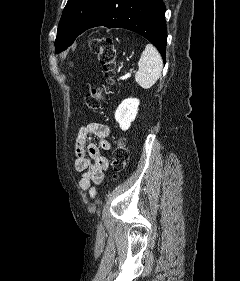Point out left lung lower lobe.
Instances as JSON below:
<instances>
[{
  "label": "left lung lower lobe",
  "mask_w": 240,
  "mask_h": 281,
  "mask_svg": "<svg viewBox=\"0 0 240 281\" xmlns=\"http://www.w3.org/2000/svg\"><path fill=\"white\" fill-rule=\"evenodd\" d=\"M163 0H103L82 27L125 28L149 40L165 62L167 31Z\"/></svg>",
  "instance_id": "obj_1"
}]
</instances>
